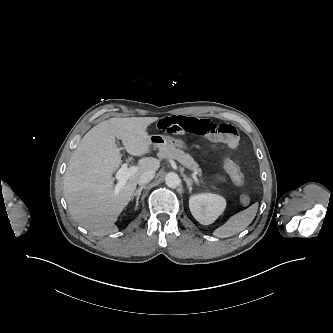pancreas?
Listing matches in <instances>:
<instances>
[{
    "label": "pancreas",
    "instance_id": "pancreas-1",
    "mask_svg": "<svg viewBox=\"0 0 333 333\" xmlns=\"http://www.w3.org/2000/svg\"><path fill=\"white\" fill-rule=\"evenodd\" d=\"M158 156L162 159L174 158L189 170L201 175V169L199 168L198 163L194 161L193 157L174 146L160 148Z\"/></svg>",
    "mask_w": 333,
    "mask_h": 333
}]
</instances>
